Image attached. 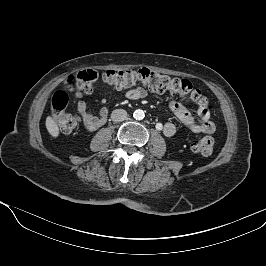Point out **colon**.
<instances>
[{"label": "colon", "mask_w": 266, "mask_h": 266, "mask_svg": "<svg viewBox=\"0 0 266 266\" xmlns=\"http://www.w3.org/2000/svg\"><path fill=\"white\" fill-rule=\"evenodd\" d=\"M99 75L91 70L79 72L75 77L68 80L69 88L81 96L89 94L94 89V84ZM101 79L107 85L115 89H127L137 84L144 85L154 92H169L174 95L186 97L199 108L207 107V100L199 90L193 88L186 79L173 78L159 74L148 68L137 70L121 69L107 70L101 74ZM68 95L65 91H56L51 99V113L57 125L64 133L75 130L79 124V117L75 114L66 113ZM214 148V140L210 136L200 138L191 143L190 149L193 153L208 156Z\"/></svg>", "instance_id": "colon-1"}]
</instances>
